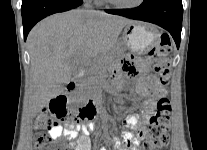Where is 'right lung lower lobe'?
I'll return each instance as SVG.
<instances>
[{
  "label": "right lung lower lobe",
  "instance_id": "right-lung-lower-lobe-1",
  "mask_svg": "<svg viewBox=\"0 0 207 150\" xmlns=\"http://www.w3.org/2000/svg\"><path fill=\"white\" fill-rule=\"evenodd\" d=\"M82 0H22L21 14L24 28V39L31 28L41 19L54 13L78 7Z\"/></svg>",
  "mask_w": 207,
  "mask_h": 150
}]
</instances>
